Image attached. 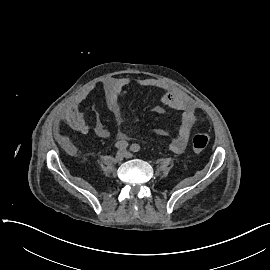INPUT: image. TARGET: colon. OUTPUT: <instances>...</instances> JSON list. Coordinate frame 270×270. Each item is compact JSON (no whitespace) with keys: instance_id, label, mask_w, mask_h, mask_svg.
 I'll return each instance as SVG.
<instances>
[{"instance_id":"5ec220e1","label":"colon","mask_w":270,"mask_h":270,"mask_svg":"<svg viewBox=\"0 0 270 270\" xmlns=\"http://www.w3.org/2000/svg\"><path fill=\"white\" fill-rule=\"evenodd\" d=\"M209 144V137L205 133H196L192 138L193 149L201 152L206 149Z\"/></svg>"}]
</instances>
